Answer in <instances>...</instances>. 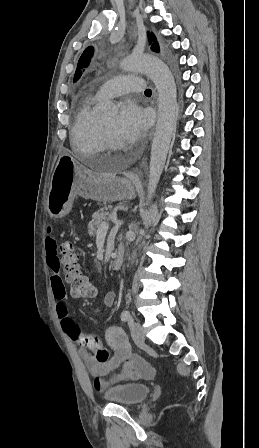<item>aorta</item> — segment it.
I'll list each match as a JSON object with an SVG mask.
<instances>
[{
    "label": "aorta",
    "instance_id": "1",
    "mask_svg": "<svg viewBox=\"0 0 259 448\" xmlns=\"http://www.w3.org/2000/svg\"><path fill=\"white\" fill-rule=\"evenodd\" d=\"M121 66L130 72H143L155 84L158 91V117L151 147L149 165L148 200L154 195L165 166L177 110V91L174 77L168 66L151 55H133L122 61ZM107 113L116 111L112 102L103 106Z\"/></svg>",
    "mask_w": 259,
    "mask_h": 448
}]
</instances>
